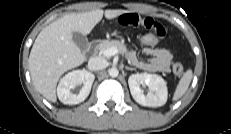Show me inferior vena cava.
Returning a JSON list of instances; mask_svg holds the SVG:
<instances>
[{"instance_id": "inferior-vena-cava-1", "label": "inferior vena cava", "mask_w": 231, "mask_h": 134, "mask_svg": "<svg viewBox=\"0 0 231 134\" xmlns=\"http://www.w3.org/2000/svg\"><path fill=\"white\" fill-rule=\"evenodd\" d=\"M108 65L107 61L100 57L90 58L88 62V69L91 71H98L106 68Z\"/></svg>"}]
</instances>
